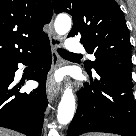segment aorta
Listing matches in <instances>:
<instances>
[{
  "label": "aorta",
  "instance_id": "aorta-1",
  "mask_svg": "<svg viewBox=\"0 0 136 136\" xmlns=\"http://www.w3.org/2000/svg\"><path fill=\"white\" fill-rule=\"evenodd\" d=\"M55 31L58 35H65L71 29V18L67 14H60L55 20ZM75 112V97L72 89L66 88L58 106L57 120L59 124H68Z\"/></svg>",
  "mask_w": 136,
  "mask_h": 136
}]
</instances>
